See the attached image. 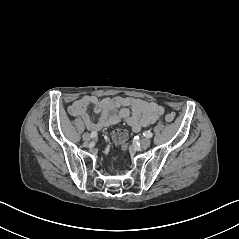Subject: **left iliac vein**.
I'll return each instance as SVG.
<instances>
[{
  "instance_id": "4c4485c4",
  "label": "left iliac vein",
  "mask_w": 239,
  "mask_h": 239,
  "mask_svg": "<svg viewBox=\"0 0 239 239\" xmlns=\"http://www.w3.org/2000/svg\"><path fill=\"white\" fill-rule=\"evenodd\" d=\"M150 144H151V140L148 139V138H143V139L140 140V145H141V147H143V148L149 147Z\"/></svg>"
}]
</instances>
